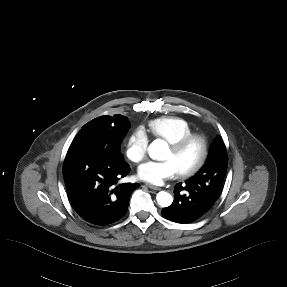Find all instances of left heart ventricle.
I'll return each mask as SVG.
<instances>
[{
  "mask_svg": "<svg viewBox=\"0 0 287 287\" xmlns=\"http://www.w3.org/2000/svg\"><path fill=\"white\" fill-rule=\"evenodd\" d=\"M200 154L199 144L194 143L186 148L180 154H174L170 148H168L166 155L164 156L165 161H172L176 166L178 172L193 165Z\"/></svg>",
  "mask_w": 287,
  "mask_h": 287,
  "instance_id": "left-heart-ventricle-1",
  "label": "left heart ventricle"
}]
</instances>
